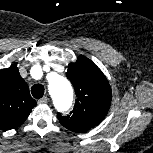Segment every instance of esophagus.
Instances as JSON below:
<instances>
[{"label": "esophagus", "mask_w": 153, "mask_h": 153, "mask_svg": "<svg viewBox=\"0 0 153 153\" xmlns=\"http://www.w3.org/2000/svg\"><path fill=\"white\" fill-rule=\"evenodd\" d=\"M47 102H48V97L47 96H44V97H42L41 99L38 100L39 104H45Z\"/></svg>", "instance_id": "esophagus-1"}]
</instances>
